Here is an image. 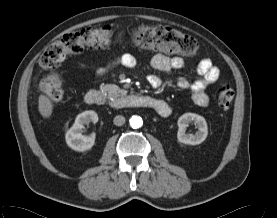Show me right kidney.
I'll return each instance as SVG.
<instances>
[{
  "label": "right kidney",
  "mask_w": 277,
  "mask_h": 218,
  "mask_svg": "<svg viewBox=\"0 0 277 218\" xmlns=\"http://www.w3.org/2000/svg\"><path fill=\"white\" fill-rule=\"evenodd\" d=\"M98 119L97 113L92 110L84 111L78 114L74 124L65 135L67 145L71 149L79 152L91 149L95 143V133L83 135L82 132L84 124H88L90 122L97 123Z\"/></svg>",
  "instance_id": "right-kidney-1"
}]
</instances>
